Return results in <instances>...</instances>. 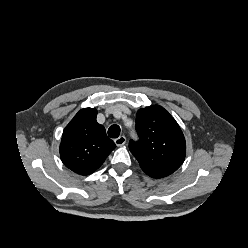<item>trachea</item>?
I'll return each instance as SVG.
<instances>
[{"label":"trachea","mask_w":248,"mask_h":248,"mask_svg":"<svg viewBox=\"0 0 248 248\" xmlns=\"http://www.w3.org/2000/svg\"><path fill=\"white\" fill-rule=\"evenodd\" d=\"M108 135L111 138H117L120 135V127L118 125H111L108 129Z\"/></svg>","instance_id":"1"}]
</instances>
